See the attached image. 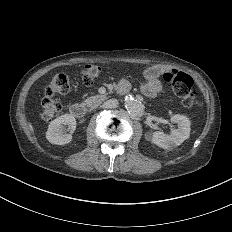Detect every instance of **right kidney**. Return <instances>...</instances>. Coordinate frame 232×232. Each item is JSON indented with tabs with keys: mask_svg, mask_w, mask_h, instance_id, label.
Masks as SVG:
<instances>
[{
	"mask_svg": "<svg viewBox=\"0 0 232 232\" xmlns=\"http://www.w3.org/2000/svg\"><path fill=\"white\" fill-rule=\"evenodd\" d=\"M75 130V118L72 115L64 114L49 124L46 138L52 144L64 145L72 140Z\"/></svg>",
	"mask_w": 232,
	"mask_h": 232,
	"instance_id": "obj_1",
	"label": "right kidney"
}]
</instances>
